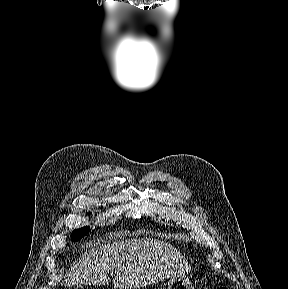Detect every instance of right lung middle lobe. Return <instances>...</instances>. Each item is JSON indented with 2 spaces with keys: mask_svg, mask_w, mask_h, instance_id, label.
Segmentation results:
<instances>
[{
  "mask_svg": "<svg viewBox=\"0 0 288 289\" xmlns=\"http://www.w3.org/2000/svg\"><path fill=\"white\" fill-rule=\"evenodd\" d=\"M89 231H90V227H88V226L83 227V228H81V229L74 230V231L72 232V234H71V235H72L71 238H72L73 241H78V240H80L82 237H84L85 235H87Z\"/></svg>",
  "mask_w": 288,
  "mask_h": 289,
  "instance_id": "obj_1",
  "label": "right lung middle lobe"
}]
</instances>
